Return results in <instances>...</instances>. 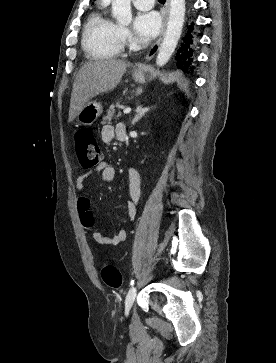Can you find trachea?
<instances>
[{
	"mask_svg": "<svg viewBox=\"0 0 276 363\" xmlns=\"http://www.w3.org/2000/svg\"><path fill=\"white\" fill-rule=\"evenodd\" d=\"M160 2H162V3H164L165 2V0H159Z\"/></svg>",
	"mask_w": 276,
	"mask_h": 363,
	"instance_id": "obj_1",
	"label": "trachea"
}]
</instances>
